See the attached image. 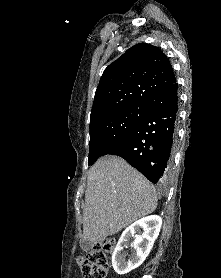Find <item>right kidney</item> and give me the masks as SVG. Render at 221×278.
Segmentation results:
<instances>
[{"instance_id":"obj_1","label":"right kidney","mask_w":221,"mask_h":278,"mask_svg":"<svg viewBox=\"0 0 221 278\" xmlns=\"http://www.w3.org/2000/svg\"><path fill=\"white\" fill-rule=\"evenodd\" d=\"M162 225L160 216L151 215L144 217L125 229L112 254V265L115 272L124 275L139 267L150 253ZM143 232L137 235L136 232ZM134 238L133 251L126 260L123 248Z\"/></svg>"}]
</instances>
